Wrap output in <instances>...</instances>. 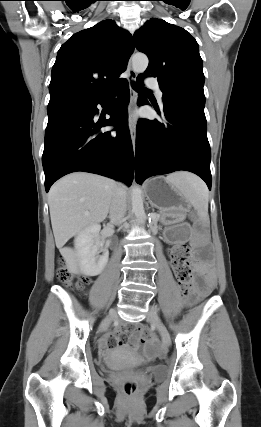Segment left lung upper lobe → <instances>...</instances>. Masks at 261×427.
Instances as JSON below:
<instances>
[{
    "label": "left lung upper lobe",
    "mask_w": 261,
    "mask_h": 427,
    "mask_svg": "<svg viewBox=\"0 0 261 427\" xmlns=\"http://www.w3.org/2000/svg\"><path fill=\"white\" fill-rule=\"evenodd\" d=\"M134 43L149 58L138 78L157 77L163 95L186 92L205 98L198 43L185 29L151 18L135 32Z\"/></svg>",
    "instance_id": "obj_1"
}]
</instances>
